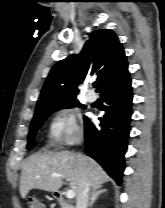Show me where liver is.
<instances>
[{
  "instance_id": "liver-1",
  "label": "liver",
  "mask_w": 165,
  "mask_h": 208,
  "mask_svg": "<svg viewBox=\"0 0 165 208\" xmlns=\"http://www.w3.org/2000/svg\"><path fill=\"white\" fill-rule=\"evenodd\" d=\"M61 174L69 179L75 195L81 191L86 180L90 187H100L110 178L102 167L92 158L75 153L38 152L27 158L21 171L20 194L25 198L31 189L56 192L63 185Z\"/></svg>"
}]
</instances>
